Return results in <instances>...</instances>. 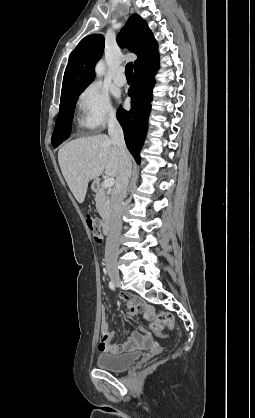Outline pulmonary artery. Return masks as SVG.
Wrapping results in <instances>:
<instances>
[{"mask_svg":"<svg viewBox=\"0 0 255 418\" xmlns=\"http://www.w3.org/2000/svg\"><path fill=\"white\" fill-rule=\"evenodd\" d=\"M114 82L118 85V86H123L126 83V77L124 75V68L123 67H119L117 69V72L114 76Z\"/></svg>","mask_w":255,"mask_h":418,"instance_id":"obj_1","label":"pulmonary artery"}]
</instances>
